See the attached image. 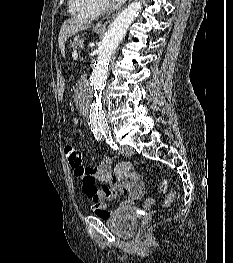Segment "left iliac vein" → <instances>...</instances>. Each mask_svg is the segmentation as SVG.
I'll use <instances>...</instances> for the list:
<instances>
[{"label": "left iliac vein", "instance_id": "1", "mask_svg": "<svg viewBox=\"0 0 233 263\" xmlns=\"http://www.w3.org/2000/svg\"><path fill=\"white\" fill-rule=\"evenodd\" d=\"M120 153L125 156H132L134 154V149L131 146L124 145L120 147Z\"/></svg>", "mask_w": 233, "mask_h": 263}]
</instances>
